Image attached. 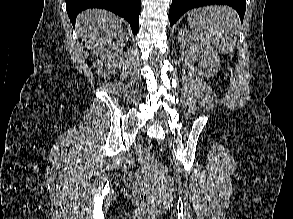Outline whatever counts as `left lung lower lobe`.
Listing matches in <instances>:
<instances>
[{"mask_svg":"<svg viewBox=\"0 0 293 219\" xmlns=\"http://www.w3.org/2000/svg\"><path fill=\"white\" fill-rule=\"evenodd\" d=\"M211 4H225L233 7L243 21L246 0H172L169 12L170 25H173L189 9Z\"/></svg>","mask_w":293,"mask_h":219,"instance_id":"obj_1","label":"left lung lower lobe"}]
</instances>
